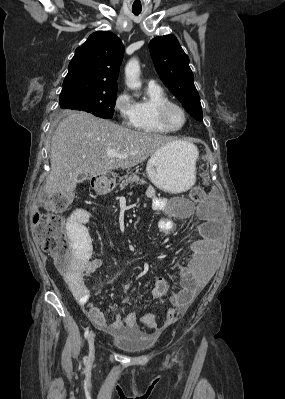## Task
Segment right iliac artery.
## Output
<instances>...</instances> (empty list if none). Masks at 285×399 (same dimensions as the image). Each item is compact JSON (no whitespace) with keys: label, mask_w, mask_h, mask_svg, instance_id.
<instances>
[{"label":"right iliac artery","mask_w":285,"mask_h":399,"mask_svg":"<svg viewBox=\"0 0 285 399\" xmlns=\"http://www.w3.org/2000/svg\"><path fill=\"white\" fill-rule=\"evenodd\" d=\"M88 335H89V328H87V329L85 330L84 338L87 339Z\"/></svg>","instance_id":"82829eb1"}]
</instances>
